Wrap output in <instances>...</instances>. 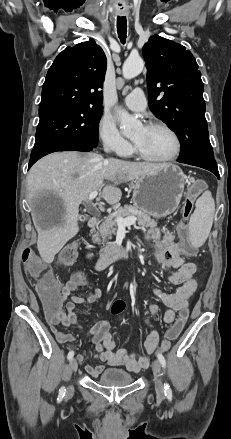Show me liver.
<instances>
[{
	"label": "liver",
	"mask_w": 231,
	"mask_h": 439,
	"mask_svg": "<svg viewBox=\"0 0 231 439\" xmlns=\"http://www.w3.org/2000/svg\"><path fill=\"white\" fill-rule=\"evenodd\" d=\"M167 164L134 163L104 158L97 153L56 152L36 162L27 176L30 201L39 194L52 195L59 204L55 212L33 220L38 232L37 248L42 260L52 263L55 255L79 231V205L95 190L110 204L122 196L118 185L159 169Z\"/></svg>",
	"instance_id": "obj_1"
}]
</instances>
